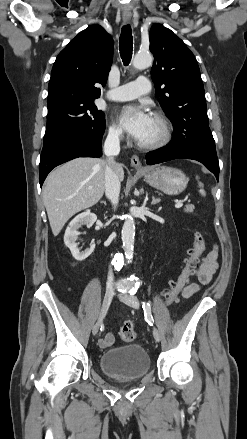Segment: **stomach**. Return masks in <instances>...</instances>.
<instances>
[{
	"mask_svg": "<svg viewBox=\"0 0 247 439\" xmlns=\"http://www.w3.org/2000/svg\"><path fill=\"white\" fill-rule=\"evenodd\" d=\"M141 172L149 185L168 195L182 193L188 184L186 175L176 168L158 166Z\"/></svg>",
	"mask_w": 247,
	"mask_h": 439,
	"instance_id": "0dacf381",
	"label": "stomach"
}]
</instances>
